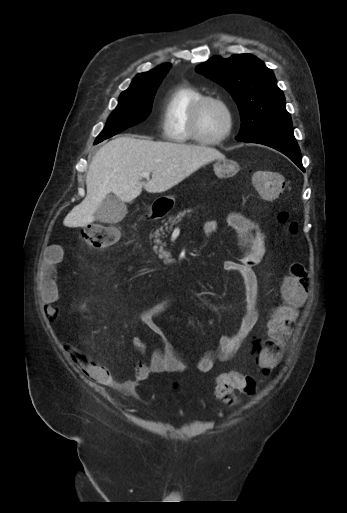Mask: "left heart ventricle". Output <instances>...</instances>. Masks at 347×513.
<instances>
[{
    "instance_id": "left-heart-ventricle-1",
    "label": "left heart ventricle",
    "mask_w": 347,
    "mask_h": 513,
    "mask_svg": "<svg viewBox=\"0 0 347 513\" xmlns=\"http://www.w3.org/2000/svg\"><path fill=\"white\" fill-rule=\"evenodd\" d=\"M227 124V114L220 104L208 102L204 105L199 117V130L203 137H219L225 132Z\"/></svg>"
}]
</instances>
